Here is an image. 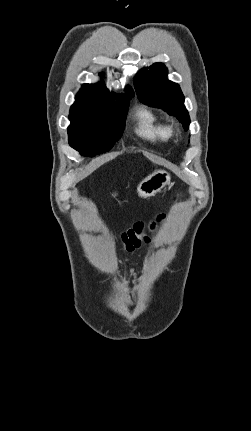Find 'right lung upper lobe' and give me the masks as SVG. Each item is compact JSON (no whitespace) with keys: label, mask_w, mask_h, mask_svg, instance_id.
<instances>
[{"label":"right lung upper lobe","mask_w":251,"mask_h":431,"mask_svg":"<svg viewBox=\"0 0 251 431\" xmlns=\"http://www.w3.org/2000/svg\"><path fill=\"white\" fill-rule=\"evenodd\" d=\"M126 92V94L123 93L118 95L119 100H127L134 96V92L130 87L126 88ZM78 93L99 95L108 98H113L115 96V93H109V90L104 85V82H99L96 84H84Z\"/></svg>","instance_id":"obj_1"}]
</instances>
